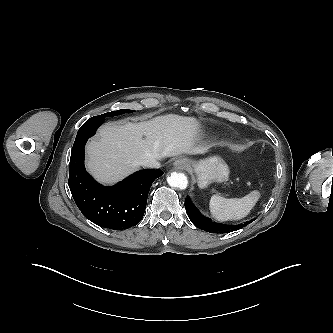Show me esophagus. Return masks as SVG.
Here are the masks:
<instances>
[{
	"label": "esophagus",
	"mask_w": 333,
	"mask_h": 333,
	"mask_svg": "<svg viewBox=\"0 0 333 333\" xmlns=\"http://www.w3.org/2000/svg\"><path fill=\"white\" fill-rule=\"evenodd\" d=\"M174 166L178 169H187L189 167V161L186 158H179L174 162Z\"/></svg>",
	"instance_id": "obj_1"
}]
</instances>
